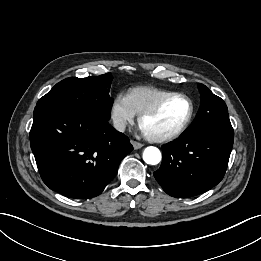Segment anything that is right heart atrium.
I'll return each instance as SVG.
<instances>
[{
	"label": "right heart atrium",
	"mask_w": 261,
	"mask_h": 261,
	"mask_svg": "<svg viewBox=\"0 0 261 261\" xmlns=\"http://www.w3.org/2000/svg\"><path fill=\"white\" fill-rule=\"evenodd\" d=\"M135 112L131 108L125 95L117 94L112 100L110 107V119L117 131H124L134 121Z\"/></svg>",
	"instance_id": "right-heart-atrium-1"
}]
</instances>
